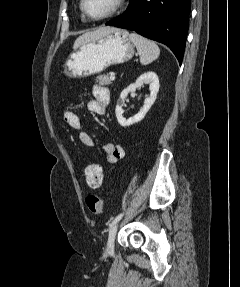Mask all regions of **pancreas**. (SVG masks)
<instances>
[{
    "label": "pancreas",
    "mask_w": 240,
    "mask_h": 287,
    "mask_svg": "<svg viewBox=\"0 0 240 287\" xmlns=\"http://www.w3.org/2000/svg\"><path fill=\"white\" fill-rule=\"evenodd\" d=\"M96 81L101 85H110L113 80L108 75H101L97 77Z\"/></svg>",
    "instance_id": "1"
}]
</instances>
